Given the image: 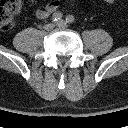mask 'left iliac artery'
<instances>
[{"label":"left iliac artery","mask_w":128,"mask_h":128,"mask_svg":"<svg viewBox=\"0 0 128 128\" xmlns=\"http://www.w3.org/2000/svg\"><path fill=\"white\" fill-rule=\"evenodd\" d=\"M66 22L72 24L74 22V17L72 15H68L66 17Z\"/></svg>","instance_id":"obj_1"}]
</instances>
